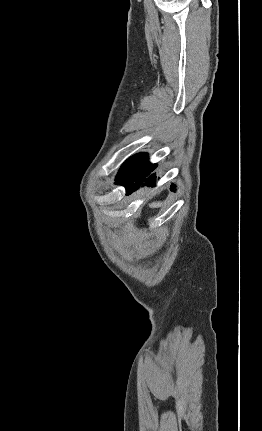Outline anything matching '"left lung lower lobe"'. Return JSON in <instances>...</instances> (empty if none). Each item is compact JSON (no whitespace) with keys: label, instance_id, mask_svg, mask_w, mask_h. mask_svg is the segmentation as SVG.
Returning a JSON list of instances; mask_svg holds the SVG:
<instances>
[{"label":"left lung lower lobe","instance_id":"0a47b994","mask_svg":"<svg viewBox=\"0 0 262 431\" xmlns=\"http://www.w3.org/2000/svg\"><path fill=\"white\" fill-rule=\"evenodd\" d=\"M133 163L131 165V177L129 181L124 185L126 187V195L131 194L137 190L141 185H150L156 181V175L153 173L156 164H150L146 162L148 156L146 154H137L133 156ZM174 189V185L171 186V190Z\"/></svg>","mask_w":262,"mask_h":431}]
</instances>
